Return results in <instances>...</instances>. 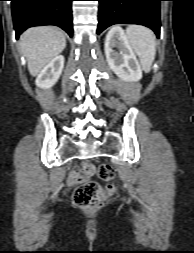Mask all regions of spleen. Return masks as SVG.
<instances>
[{
    "label": "spleen",
    "instance_id": "1",
    "mask_svg": "<svg viewBox=\"0 0 194 253\" xmlns=\"http://www.w3.org/2000/svg\"><path fill=\"white\" fill-rule=\"evenodd\" d=\"M126 37L139 57L142 69L146 73L150 72L156 54L154 33L141 25H129L126 29Z\"/></svg>",
    "mask_w": 194,
    "mask_h": 253
}]
</instances>
